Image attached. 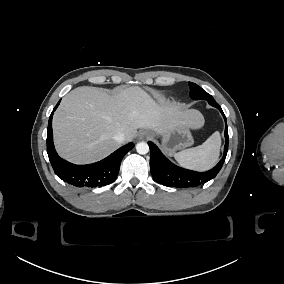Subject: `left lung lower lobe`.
Segmentation results:
<instances>
[{
  "mask_svg": "<svg viewBox=\"0 0 284 284\" xmlns=\"http://www.w3.org/2000/svg\"><path fill=\"white\" fill-rule=\"evenodd\" d=\"M208 103L219 109L225 119L226 143L222 159L214 168L206 172H195L191 170H186L172 164L167 158L164 157V155L161 153V151L154 143L148 142L151 152L150 171L153 178L160 184L169 187H178V188L196 187L213 179L222 168L228 151V129H227L226 117L221 107L216 103V101Z\"/></svg>",
  "mask_w": 284,
  "mask_h": 284,
  "instance_id": "left-lung-lower-lobe-1",
  "label": "left lung lower lobe"
}]
</instances>
